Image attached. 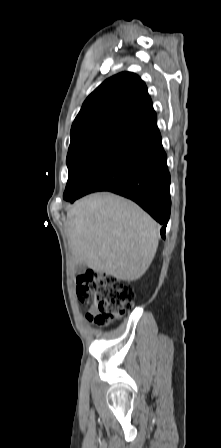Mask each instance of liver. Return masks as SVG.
<instances>
[{"mask_svg": "<svg viewBox=\"0 0 221 448\" xmlns=\"http://www.w3.org/2000/svg\"><path fill=\"white\" fill-rule=\"evenodd\" d=\"M65 227L74 262L117 280L139 279L158 247V224L134 202L112 193L76 202Z\"/></svg>", "mask_w": 221, "mask_h": 448, "instance_id": "1", "label": "liver"}]
</instances>
